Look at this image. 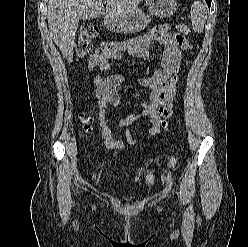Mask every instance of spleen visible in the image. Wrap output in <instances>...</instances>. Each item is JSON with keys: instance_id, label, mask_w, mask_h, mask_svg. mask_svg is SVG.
I'll return each mask as SVG.
<instances>
[{"instance_id": "spleen-1", "label": "spleen", "mask_w": 248, "mask_h": 247, "mask_svg": "<svg viewBox=\"0 0 248 247\" xmlns=\"http://www.w3.org/2000/svg\"><path fill=\"white\" fill-rule=\"evenodd\" d=\"M193 30L201 33L207 19L206 6L200 2H194L190 11Z\"/></svg>"}]
</instances>
